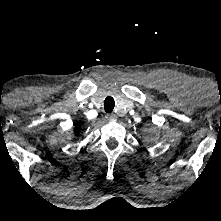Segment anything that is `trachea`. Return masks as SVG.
<instances>
[{
    "instance_id": "3493384b",
    "label": "trachea",
    "mask_w": 221,
    "mask_h": 221,
    "mask_svg": "<svg viewBox=\"0 0 221 221\" xmlns=\"http://www.w3.org/2000/svg\"><path fill=\"white\" fill-rule=\"evenodd\" d=\"M115 107V101L112 97H106L104 100V109L107 113H111Z\"/></svg>"
}]
</instances>
